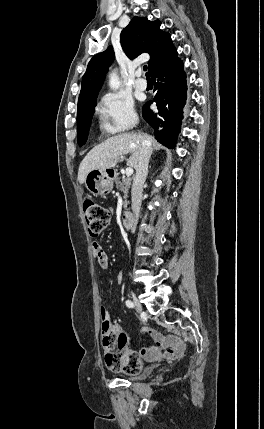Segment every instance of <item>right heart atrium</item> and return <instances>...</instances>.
I'll return each mask as SVG.
<instances>
[{
    "label": "right heart atrium",
    "mask_w": 264,
    "mask_h": 429,
    "mask_svg": "<svg viewBox=\"0 0 264 429\" xmlns=\"http://www.w3.org/2000/svg\"><path fill=\"white\" fill-rule=\"evenodd\" d=\"M102 128L106 133L117 134L133 128L138 120L133 101L120 93L103 95L96 106Z\"/></svg>",
    "instance_id": "d8ad5b80"
}]
</instances>
